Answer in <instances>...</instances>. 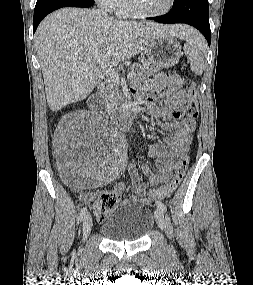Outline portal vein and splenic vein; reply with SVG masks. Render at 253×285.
Listing matches in <instances>:
<instances>
[{
    "instance_id": "portal-vein-and-splenic-vein-1",
    "label": "portal vein and splenic vein",
    "mask_w": 253,
    "mask_h": 285,
    "mask_svg": "<svg viewBox=\"0 0 253 285\" xmlns=\"http://www.w3.org/2000/svg\"><path fill=\"white\" fill-rule=\"evenodd\" d=\"M96 60L97 62L99 63V65L101 66V68L104 70V73L110 78L111 81L113 82H119V74L116 73L114 71V69H112L111 65H106L104 63V60H101L99 57H96ZM136 73L134 72H130L128 75H127V79L128 80H132L136 77Z\"/></svg>"
}]
</instances>
